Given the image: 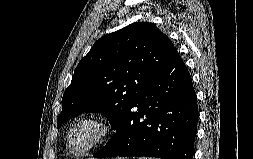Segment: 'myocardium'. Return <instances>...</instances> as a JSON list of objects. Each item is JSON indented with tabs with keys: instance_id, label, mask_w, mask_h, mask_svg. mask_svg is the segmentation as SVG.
Segmentation results:
<instances>
[{
	"instance_id": "f54148a6",
	"label": "myocardium",
	"mask_w": 253,
	"mask_h": 159,
	"mask_svg": "<svg viewBox=\"0 0 253 159\" xmlns=\"http://www.w3.org/2000/svg\"><path fill=\"white\" fill-rule=\"evenodd\" d=\"M92 122L98 125L99 131L95 138L83 149H76L73 146V137L77 129L84 123ZM113 124L101 113L89 112L75 120L67 134V146L69 151L76 156H84L93 149L107 141L113 134Z\"/></svg>"
}]
</instances>
